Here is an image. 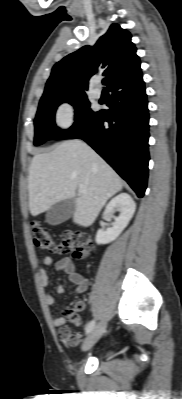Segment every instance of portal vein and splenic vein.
Segmentation results:
<instances>
[{"mask_svg": "<svg viewBox=\"0 0 182 399\" xmlns=\"http://www.w3.org/2000/svg\"><path fill=\"white\" fill-rule=\"evenodd\" d=\"M78 191L80 194H86L87 193V189L84 185H80L78 188Z\"/></svg>", "mask_w": 182, "mask_h": 399, "instance_id": "18ae733b", "label": "portal vein and splenic vein"}]
</instances>
